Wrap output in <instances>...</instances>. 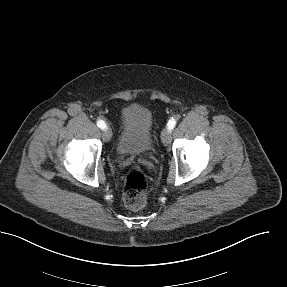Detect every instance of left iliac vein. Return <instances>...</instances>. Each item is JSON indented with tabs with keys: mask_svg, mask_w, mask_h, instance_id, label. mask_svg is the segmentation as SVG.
Wrapping results in <instances>:
<instances>
[{
	"mask_svg": "<svg viewBox=\"0 0 287 287\" xmlns=\"http://www.w3.org/2000/svg\"><path fill=\"white\" fill-rule=\"evenodd\" d=\"M161 140L165 146H168L171 142V132L168 128H164L161 133Z\"/></svg>",
	"mask_w": 287,
	"mask_h": 287,
	"instance_id": "left-iliac-vein-1",
	"label": "left iliac vein"
}]
</instances>
